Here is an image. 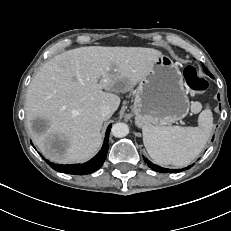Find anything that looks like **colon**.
Returning a JSON list of instances; mask_svg holds the SVG:
<instances>
[{
	"label": "colon",
	"instance_id": "colon-1",
	"mask_svg": "<svg viewBox=\"0 0 231 231\" xmlns=\"http://www.w3.org/2000/svg\"><path fill=\"white\" fill-rule=\"evenodd\" d=\"M184 78L188 87L194 91H204L208 87L207 81L198 76L197 70L193 66H187L184 69Z\"/></svg>",
	"mask_w": 231,
	"mask_h": 231
}]
</instances>
